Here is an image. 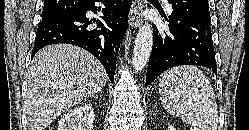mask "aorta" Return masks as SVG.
<instances>
[{
  "instance_id": "762f6f07",
  "label": "aorta",
  "mask_w": 249,
  "mask_h": 130,
  "mask_svg": "<svg viewBox=\"0 0 249 130\" xmlns=\"http://www.w3.org/2000/svg\"><path fill=\"white\" fill-rule=\"evenodd\" d=\"M153 46V30L149 23L139 28L133 49V68L135 72H141L148 63Z\"/></svg>"
}]
</instances>
